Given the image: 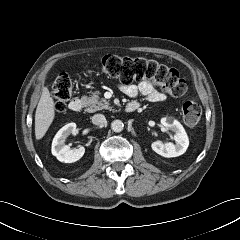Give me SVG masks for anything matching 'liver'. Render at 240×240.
<instances>
[{"mask_svg": "<svg viewBox=\"0 0 240 240\" xmlns=\"http://www.w3.org/2000/svg\"><path fill=\"white\" fill-rule=\"evenodd\" d=\"M55 116V104L50 96L49 90L45 87L35 113V136L41 139L47 132Z\"/></svg>", "mask_w": 240, "mask_h": 240, "instance_id": "liver-1", "label": "liver"}]
</instances>
